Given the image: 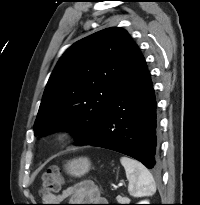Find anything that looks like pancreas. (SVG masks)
Listing matches in <instances>:
<instances>
[{
  "label": "pancreas",
  "mask_w": 200,
  "mask_h": 205,
  "mask_svg": "<svg viewBox=\"0 0 200 205\" xmlns=\"http://www.w3.org/2000/svg\"><path fill=\"white\" fill-rule=\"evenodd\" d=\"M116 199H117V201L120 202V203H126V202L129 201L128 198H126V197H121V196H117Z\"/></svg>",
  "instance_id": "pancreas-1"
}]
</instances>
